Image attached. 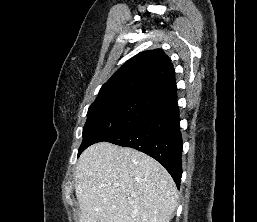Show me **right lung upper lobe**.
I'll use <instances>...</instances> for the list:
<instances>
[{
	"label": "right lung upper lobe",
	"instance_id": "right-lung-upper-lobe-1",
	"mask_svg": "<svg viewBox=\"0 0 257 222\" xmlns=\"http://www.w3.org/2000/svg\"><path fill=\"white\" fill-rule=\"evenodd\" d=\"M175 72L162 49L144 51L128 60L101 87L96 100L141 98L164 107L177 100Z\"/></svg>",
	"mask_w": 257,
	"mask_h": 222
}]
</instances>
